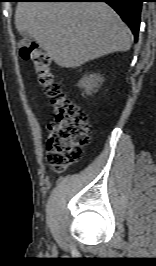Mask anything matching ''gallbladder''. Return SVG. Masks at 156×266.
<instances>
[{
  "label": "gallbladder",
  "instance_id": "gallbladder-1",
  "mask_svg": "<svg viewBox=\"0 0 156 266\" xmlns=\"http://www.w3.org/2000/svg\"><path fill=\"white\" fill-rule=\"evenodd\" d=\"M24 35H25L26 37H30V35H29L27 32H24Z\"/></svg>",
  "mask_w": 156,
  "mask_h": 266
}]
</instances>
